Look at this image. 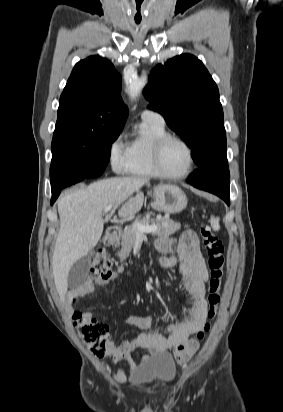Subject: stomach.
<instances>
[{"instance_id": "obj_1", "label": "stomach", "mask_w": 283, "mask_h": 412, "mask_svg": "<svg viewBox=\"0 0 283 412\" xmlns=\"http://www.w3.org/2000/svg\"><path fill=\"white\" fill-rule=\"evenodd\" d=\"M153 206L169 214L183 211L187 206L185 193L175 185H158L153 189Z\"/></svg>"}]
</instances>
